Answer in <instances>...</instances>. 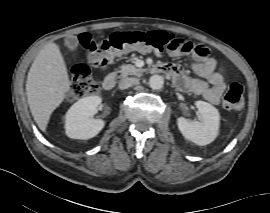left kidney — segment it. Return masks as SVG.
I'll list each match as a JSON object with an SVG mask.
<instances>
[{
    "label": "left kidney",
    "mask_w": 270,
    "mask_h": 213,
    "mask_svg": "<svg viewBox=\"0 0 270 213\" xmlns=\"http://www.w3.org/2000/svg\"><path fill=\"white\" fill-rule=\"evenodd\" d=\"M202 121H192L184 117L177 119L182 135L193 143L204 146L215 140L219 132L220 114L211 104L205 101L195 103Z\"/></svg>",
    "instance_id": "obj_1"
}]
</instances>
